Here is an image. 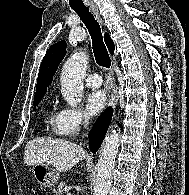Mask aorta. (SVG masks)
<instances>
[{
    "label": "aorta",
    "mask_w": 189,
    "mask_h": 195,
    "mask_svg": "<svg viewBox=\"0 0 189 195\" xmlns=\"http://www.w3.org/2000/svg\"><path fill=\"white\" fill-rule=\"evenodd\" d=\"M88 64L85 53H75L63 65L61 92L66 102L77 107L83 97L84 77ZM119 147V132L112 129L106 136L97 164V177L93 195H108L112 184V172Z\"/></svg>",
    "instance_id": "762f6f07"
}]
</instances>
